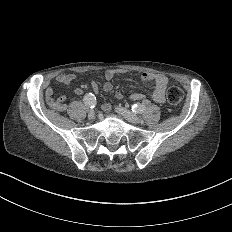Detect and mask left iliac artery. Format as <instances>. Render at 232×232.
I'll return each mask as SVG.
<instances>
[{"label": "left iliac artery", "instance_id": "left-iliac-artery-1", "mask_svg": "<svg viewBox=\"0 0 232 232\" xmlns=\"http://www.w3.org/2000/svg\"><path fill=\"white\" fill-rule=\"evenodd\" d=\"M131 110L133 113H143L146 110V107L142 104H133Z\"/></svg>", "mask_w": 232, "mask_h": 232}]
</instances>
